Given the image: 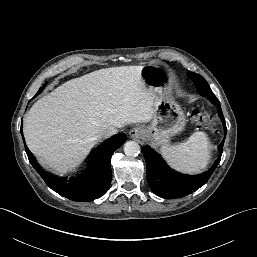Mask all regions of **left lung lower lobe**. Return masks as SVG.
<instances>
[{"instance_id":"1","label":"left lung lower lobe","mask_w":257,"mask_h":257,"mask_svg":"<svg viewBox=\"0 0 257 257\" xmlns=\"http://www.w3.org/2000/svg\"><path fill=\"white\" fill-rule=\"evenodd\" d=\"M217 107L225 124L221 106L218 105ZM223 144L224 140L218 147L220 155L212 168L208 172L199 175L178 173L169 168L162 157L149 146L143 147L142 152L147 166V181L153 193L162 198H180L199 189L208 181L219 164L223 152Z\"/></svg>"}]
</instances>
